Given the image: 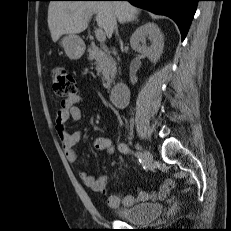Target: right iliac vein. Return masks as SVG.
Here are the masks:
<instances>
[{
    "mask_svg": "<svg viewBox=\"0 0 231 231\" xmlns=\"http://www.w3.org/2000/svg\"><path fill=\"white\" fill-rule=\"evenodd\" d=\"M143 158L144 161L147 165H151L152 161H153V155L148 151V150H144L143 151Z\"/></svg>",
    "mask_w": 231,
    "mask_h": 231,
    "instance_id": "63e3f726",
    "label": "right iliac vein"
}]
</instances>
